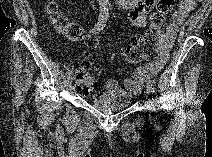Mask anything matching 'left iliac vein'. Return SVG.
Segmentation results:
<instances>
[{
	"label": "left iliac vein",
	"mask_w": 212,
	"mask_h": 157,
	"mask_svg": "<svg viewBox=\"0 0 212 157\" xmlns=\"http://www.w3.org/2000/svg\"><path fill=\"white\" fill-rule=\"evenodd\" d=\"M150 92H151V91H149V90L147 89L146 93L149 94Z\"/></svg>",
	"instance_id": "left-iliac-vein-1"
}]
</instances>
